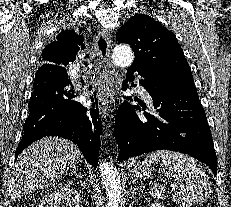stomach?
I'll list each match as a JSON object with an SVG mask.
<instances>
[{
  "label": "stomach",
  "mask_w": 231,
  "mask_h": 207,
  "mask_svg": "<svg viewBox=\"0 0 231 207\" xmlns=\"http://www.w3.org/2000/svg\"><path fill=\"white\" fill-rule=\"evenodd\" d=\"M127 169L129 175L137 179L149 178L153 171L151 163L146 160H132L128 164Z\"/></svg>",
  "instance_id": "stomach-1"
}]
</instances>
